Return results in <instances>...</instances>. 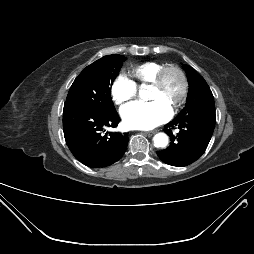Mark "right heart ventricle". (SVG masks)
I'll list each match as a JSON object with an SVG mask.
<instances>
[{"label": "right heart ventricle", "mask_w": 254, "mask_h": 254, "mask_svg": "<svg viewBox=\"0 0 254 254\" xmlns=\"http://www.w3.org/2000/svg\"><path fill=\"white\" fill-rule=\"evenodd\" d=\"M162 66L163 65L161 63L147 61L133 66L130 69L129 74L133 79L132 81L134 82L135 85L142 86L150 84L154 80L158 70Z\"/></svg>", "instance_id": "1"}]
</instances>
